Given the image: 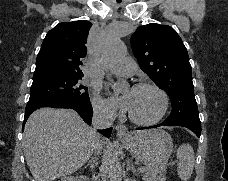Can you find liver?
<instances>
[{"label":"liver","instance_id":"6515ba94","mask_svg":"<svg viewBox=\"0 0 228 181\" xmlns=\"http://www.w3.org/2000/svg\"><path fill=\"white\" fill-rule=\"evenodd\" d=\"M106 143L72 109H38L23 133V151L35 181L76 173L89 161L94 147Z\"/></svg>","mask_w":228,"mask_h":181}]
</instances>
